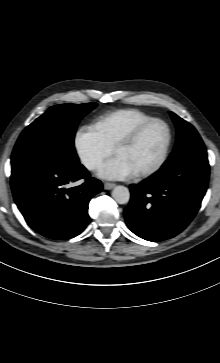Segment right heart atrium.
<instances>
[{
	"instance_id": "1",
	"label": "right heart atrium",
	"mask_w": 220,
	"mask_h": 363,
	"mask_svg": "<svg viewBox=\"0 0 220 363\" xmlns=\"http://www.w3.org/2000/svg\"><path fill=\"white\" fill-rule=\"evenodd\" d=\"M73 144L79 161L88 170L96 169L112 153L111 146L91 125H82L76 130Z\"/></svg>"
}]
</instances>
